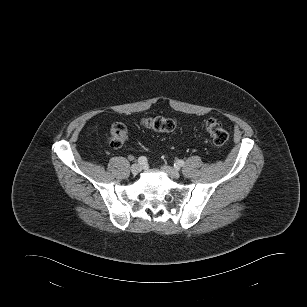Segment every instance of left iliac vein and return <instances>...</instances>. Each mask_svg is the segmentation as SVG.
I'll return each mask as SVG.
<instances>
[{
    "label": "left iliac vein",
    "mask_w": 307,
    "mask_h": 307,
    "mask_svg": "<svg viewBox=\"0 0 307 307\" xmlns=\"http://www.w3.org/2000/svg\"><path fill=\"white\" fill-rule=\"evenodd\" d=\"M162 170L166 172L173 179H177L180 177L179 172L171 166L163 165Z\"/></svg>",
    "instance_id": "1"
}]
</instances>
